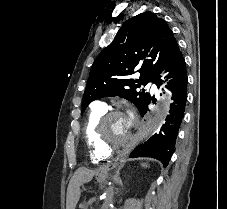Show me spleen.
Segmentation results:
<instances>
[{
	"instance_id": "1",
	"label": "spleen",
	"mask_w": 227,
	"mask_h": 209,
	"mask_svg": "<svg viewBox=\"0 0 227 209\" xmlns=\"http://www.w3.org/2000/svg\"><path fill=\"white\" fill-rule=\"evenodd\" d=\"M142 167H148L147 163H142Z\"/></svg>"
}]
</instances>
